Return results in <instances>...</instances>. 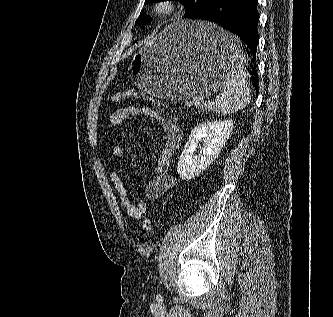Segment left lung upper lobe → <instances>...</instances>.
Here are the masks:
<instances>
[{
  "label": "left lung upper lobe",
  "instance_id": "1",
  "mask_svg": "<svg viewBox=\"0 0 333 317\" xmlns=\"http://www.w3.org/2000/svg\"><path fill=\"white\" fill-rule=\"evenodd\" d=\"M165 0H145V4L152 3V2H161ZM182 3L185 8L186 12L184 17L188 18L192 13H195L202 8L209 5L213 0H178ZM151 21L149 17H147L143 12L140 13V16L137 19V24H148Z\"/></svg>",
  "mask_w": 333,
  "mask_h": 317
}]
</instances>
